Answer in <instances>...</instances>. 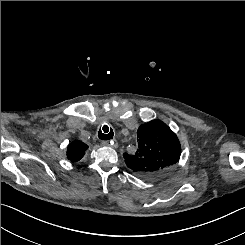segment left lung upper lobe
Returning a JSON list of instances; mask_svg holds the SVG:
<instances>
[{
	"instance_id": "1",
	"label": "left lung upper lobe",
	"mask_w": 245,
	"mask_h": 245,
	"mask_svg": "<svg viewBox=\"0 0 245 245\" xmlns=\"http://www.w3.org/2000/svg\"><path fill=\"white\" fill-rule=\"evenodd\" d=\"M137 136L136 153L123 154L127 167L137 176L146 179L161 177L179 161L180 142L164 122L153 120L141 125Z\"/></svg>"
}]
</instances>
